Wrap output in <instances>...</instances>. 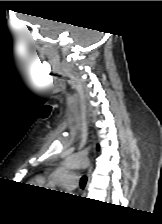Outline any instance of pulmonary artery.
Segmentation results:
<instances>
[{
  "label": "pulmonary artery",
  "mask_w": 162,
  "mask_h": 224,
  "mask_svg": "<svg viewBox=\"0 0 162 224\" xmlns=\"http://www.w3.org/2000/svg\"><path fill=\"white\" fill-rule=\"evenodd\" d=\"M59 183L68 189H74L78 185V178L74 173L66 172L62 174V178Z\"/></svg>",
  "instance_id": "pulmonary-artery-1"
}]
</instances>
